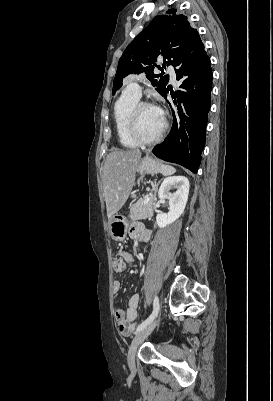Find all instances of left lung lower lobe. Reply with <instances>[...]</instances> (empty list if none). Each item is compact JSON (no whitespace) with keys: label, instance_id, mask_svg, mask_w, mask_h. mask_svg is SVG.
Instances as JSON below:
<instances>
[{"label":"left lung lower lobe","instance_id":"left-lung-lower-lobe-1","mask_svg":"<svg viewBox=\"0 0 273 401\" xmlns=\"http://www.w3.org/2000/svg\"><path fill=\"white\" fill-rule=\"evenodd\" d=\"M173 66L177 67L176 77L182 81V90L172 95V129L164 142L154 147L153 153L165 161L180 164L197 173L206 141L213 78L210 58L201 39L187 49ZM168 92L167 87L162 96L166 98Z\"/></svg>","mask_w":273,"mask_h":401}]
</instances>
